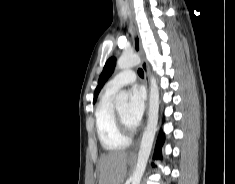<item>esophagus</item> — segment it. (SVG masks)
Wrapping results in <instances>:
<instances>
[{
	"instance_id": "34e87169",
	"label": "esophagus",
	"mask_w": 235,
	"mask_h": 184,
	"mask_svg": "<svg viewBox=\"0 0 235 184\" xmlns=\"http://www.w3.org/2000/svg\"><path fill=\"white\" fill-rule=\"evenodd\" d=\"M128 16H129V21H130V31H131V34H132V37H133L134 51H135L136 54L139 55V57L141 59V66H142V69H143V72H144L145 86H146L147 93L149 94L150 85H149V76H148L147 64H146V61H145V58H144V55H143V51H142L141 38H140V35H139L137 22L135 20V14H134V12L131 8L128 11ZM147 109H148V101H147ZM139 142H140V140L137 141L134 150L130 154L131 156H136L137 155Z\"/></svg>"
}]
</instances>
